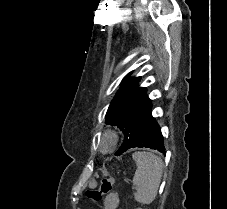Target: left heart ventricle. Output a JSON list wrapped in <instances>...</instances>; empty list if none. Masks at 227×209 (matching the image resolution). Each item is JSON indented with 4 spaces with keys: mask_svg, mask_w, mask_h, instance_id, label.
<instances>
[{
    "mask_svg": "<svg viewBox=\"0 0 227 209\" xmlns=\"http://www.w3.org/2000/svg\"><path fill=\"white\" fill-rule=\"evenodd\" d=\"M102 143H103V144H106V143H107V140H106V139H103V140H102Z\"/></svg>",
    "mask_w": 227,
    "mask_h": 209,
    "instance_id": "b2bd125f",
    "label": "left heart ventricle"
}]
</instances>
